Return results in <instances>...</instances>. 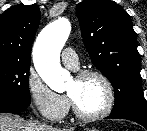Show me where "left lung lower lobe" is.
<instances>
[{
    "label": "left lung lower lobe",
    "instance_id": "1",
    "mask_svg": "<svg viewBox=\"0 0 147 131\" xmlns=\"http://www.w3.org/2000/svg\"><path fill=\"white\" fill-rule=\"evenodd\" d=\"M106 118L111 119H127L141 124L147 129V115L139 113H119V114H110Z\"/></svg>",
    "mask_w": 147,
    "mask_h": 131
}]
</instances>
